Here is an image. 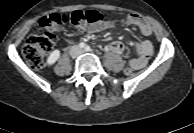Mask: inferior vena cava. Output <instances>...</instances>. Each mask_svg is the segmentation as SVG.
<instances>
[{
	"label": "inferior vena cava",
	"instance_id": "inferior-vena-cava-1",
	"mask_svg": "<svg viewBox=\"0 0 194 133\" xmlns=\"http://www.w3.org/2000/svg\"><path fill=\"white\" fill-rule=\"evenodd\" d=\"M83 50L81 48H79L78 46H72L70 48V55L72 57H77L78 55L82 54Z\"/></svg>",
	"mask_w": 194,
	"mask_h": 133
}]
</instances>
